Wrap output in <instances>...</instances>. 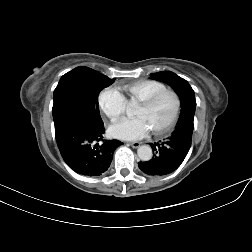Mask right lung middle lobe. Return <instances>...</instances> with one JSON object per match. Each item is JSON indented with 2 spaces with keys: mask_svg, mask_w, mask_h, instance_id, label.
Listing matches in <instances>:
<instances>
[{
  "mask_svg": "<svg viewBox=\"0 0 252 252\" xmlns=\"http://www.w3.org/2000/svg\"><path fill=\"white\" fill-rule=\"evenodd\" d=\"M113 82L114 79L91 68L72 70L63 75L54 90V123L67 117H75L92 124H103L98 95Z\"/></svg>",
  "mask_w": 252,
  "mask_h": 252,
  "instance_id": "1",
  "label": "right lung middle lobe"
}]
</instances>
